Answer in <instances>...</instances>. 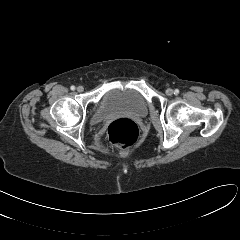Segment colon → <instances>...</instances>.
<instances>
[{
    "label": "colon",
    "mask_w": 240,
    "mask_h": 240,
    "mask_svg": "<svg viewBox=\"0 0 240 240\" xmlns=\"http://www.w3.org/2000/svg\"><path fill=\"white\" fill-rule=\"evenodd\" d=\"M138 125L129 119H118L113 121L107 130L108 141L111 145L128 147L139 138Z\"/></svg>",
    "instance_id": "colon-1"
}]
</instances>
